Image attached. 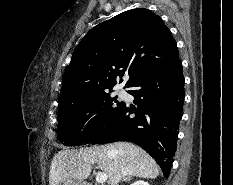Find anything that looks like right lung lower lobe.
<instances>
[{
	"label": "right lung lower lobe",
	"mask_w": 233,
	"mask_h": 185,
	"mask_svg": "<svg viewBox=\"0 0 233 185\" xmlns=\"http://www.w3.org/2000/svg\"><path fill=\"white\" fill-rule=\"evenodd\" d=\"M129 87L136 107L123 103L115 115L86 142L131 141L145 149L170 173L183 114L184 76L181 60L153 69Z\"/></svg>",
	"instance_id": "right-lung-lower-lobe-1"
}]
</instances>
